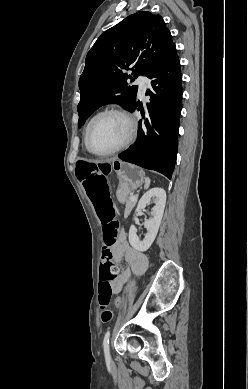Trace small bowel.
Here are the masks:
<instances>
[{
  "instance_id": "1",
  "label": "small bowel",
  "mask_w": 248,
  "mask_h": 389,
  "mask_svg": "<svg viewBox=\"0 0 248 389\" xmlns=\"http://www.w3.org/2000/svg\"><path fill=\"white\" fill-rule=\"evenodd\" d=\"M111 253L115 261L120 262L125 258L130 266L121 270L112 283V292L119 294L132 275H141L145 272L148 267V261L143 253L129 244L123 231L120 234L119 240L113 245Z\"/></svg>"
}]
</instances>
